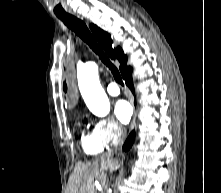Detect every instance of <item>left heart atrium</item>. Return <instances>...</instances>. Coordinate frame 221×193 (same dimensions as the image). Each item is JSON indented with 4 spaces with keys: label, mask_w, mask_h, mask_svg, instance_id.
<instances>
[{
    "label": "left heart atrium",
    "mask_w": 221,
    "mask_h": 193,
    "mask_svg": "<svg viewBox=\"0 0 221 193\" xmlns=\"http://www.w3.org/2000/svg\"><path fill=\"white\" fill-rule=\"evenodd\" d=\"M114 111L117 118L123 123H127L132 116V107L126 100H118Z\"/></svg>",
    "instance_id": "1"
}]
</instances>
